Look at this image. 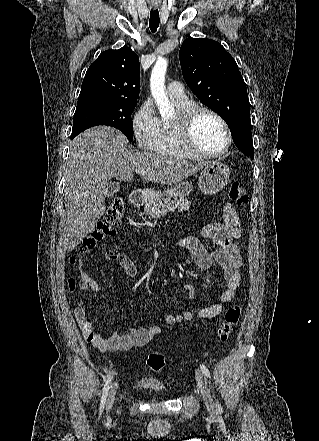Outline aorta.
<instances>
[{
    "label": "aorta",
    "mask_w": 319,
    "mask_h": 441,
    "mask_svg": "<svg viewBox=\"0 0 319 441\" xmlns=\"http://www.w3.org/2000/svg\"><path fill=\"white\" fill-rule=\"evenodd\" d=\"M167 67L168 61L165 58H159L152 69L150 77L151 94L159 109L161 117L164 119L171 118L174 115V107L165 93V75Z\"/></svg>",
    "instance_id": "762f6f07"
}]
</instances>
